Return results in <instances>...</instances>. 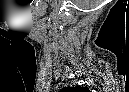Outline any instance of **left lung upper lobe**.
Returning a JSON list of instances; mask_svg holds the SVG:
<instances>
[{
	"label": "left lung upper lobe",
	"mask_w": 129,
	"mask_h": 92,
	"mask_svg": "<svg viewBox=\"0 0 129 92\" xmlns=\"http://www.w3.org/2000/svg\"><path fill=\"white\" fill-rule=\"evenodd\" d=\"M61 91L64 92H82V91H89L87 88L82 89L81 86L76 87H65Z\"/></svg>",
	"instance_id": "left-lung-upper-lobe-1"
}]
</instances>
